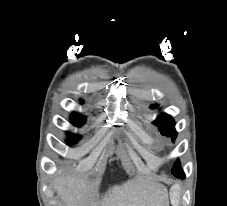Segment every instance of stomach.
Listing matches in <instances>:
<instances>
[{
  "label": "stomach",
  "mask_w": 227,
  "mask_h": 206,
  "mask_svg": "<svg viewBox=\"0 0 227 206\" xmlns=\"http://www.w3.org/2000/svg\"><path fill=\"white\" fill-rule=\"evenodd\" d=\"M163 201H164V202H167V201H168V198H167V197H164V198H163ZM165 205H167V204H165Z\"/></svg>",
  "instance_id": "obj_1"
}]
</instances>
